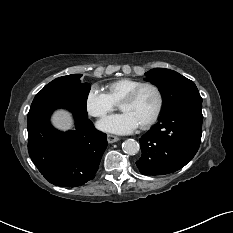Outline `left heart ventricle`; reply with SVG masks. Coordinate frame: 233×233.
<instances>
[{
    "mask_svg": "<svg viewBox=\"0 0 233 233\" xmlns=\"http://www.w3.org/2000/svg\"><path fill=\"white\" fill-rule=\"evenodd\" d=\"M157 104L158 97L156 91L151 87H145L133 101L120 105V108L124 112L131 113L140 124H143L153 115Z\"/></svg>",
    "mask_w": 233,
    "mask_h": 233,
    "instance_id": "left-heart-ventricle-1",
    "label": "left heart ventricle"
}]
</instances>
